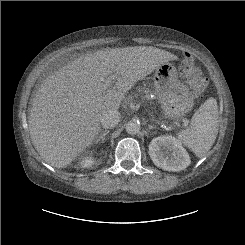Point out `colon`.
Masks as SVG:
<instances>
[{
	"label": "colon",
	"mask_w": 245,
	"mask_h": 245,
	"mask_svg": "<svg viewBox=\"0 0 245 245\" xmlns=\"http://www.w3.org/2000/svg\"><path fill=\"white\" fill-rule=\"evenodd\" d=\"M179 69L181 76L187 83L192 96H202L208 86V79L196 66L194 57L189 52L182 53Z\"/></svg>",
	"instance_id": "obj_1"
}]
</instances>
